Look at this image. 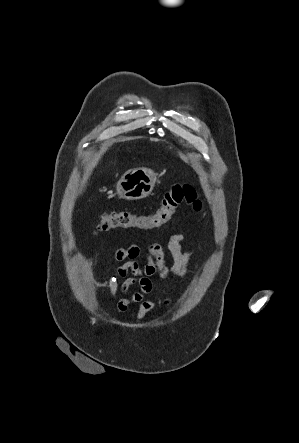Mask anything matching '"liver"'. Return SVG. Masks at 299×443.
<instances>
[{
    "instance_id": "obj_1",
    "label": "liver",
    "mask_w": 299,
    "mask_h": 443,
    "mask_svg": "<svg viewBox=\"0 0 299 443\" xmlns=\"http://www.w3.org/2000/svg\"><path fill=\"white\" fill-rule=\"evenodd\" d=\"M84 183H85V180L83 181V185H82V187L84 186ZM81 191H82V189H81Z\"/></svg>"
}]
</instances>
